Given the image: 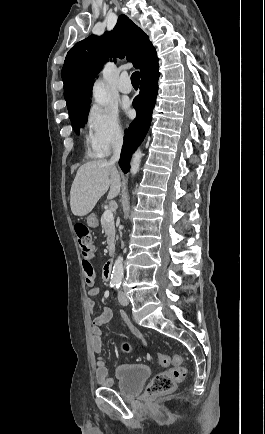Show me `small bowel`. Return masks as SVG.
<instances>
[{
    "label": "small bowel",
    "mask_w": 265,
    "mask_h": 434,
    "mask_svg": "<svg viewBox=\"0 0 265 434\" xmlns=\"http://www.w3.org/2000/svg\"><path fill=\"white\" fill-rule=\"evenodd\" d=\"M99 293L100 288L97 286L90 288L88 291L86 297V306L90 312H92L95 307L94 299L99 295ZM112 315V310L108 307H105L98 316L92 319L91 344L93 351L98 355L94 362V378L99 383L100 387H111L113 385V380L111 378H107L108 370L103 358L100 356L103 348V326L111 320ZM121 316L134 339L137 342L144 344V339L142 338L140 331L130 322L129 318L124 313H122Z\"/></svg>",
    "instance_id": "obj_1"
}]
</instances>
